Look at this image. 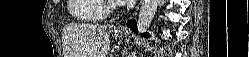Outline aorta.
<instances>
[{
    "mask_svg": "<svg viewBox=\"0 0 249 57\" xmlns=\"http://www.w3.org/2000/svg\"><path fill=\"white\" fill-rule=\"evenodd\" d=\"M159 0H143L137 20L139 33L145 32L151 25L157 11Z\"/></svg>",
    "mask_w": 249,
    "mask_h": 57,
    "instance_id": "762f6f07",
    "label": "aorta"
}]
</instances>
